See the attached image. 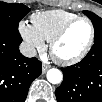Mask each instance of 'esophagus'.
<instances>
[{
    "instance_id": "34e87169",
    "label": "esophagus",
    "mask_w": 102,
    "mask_h": 102,
    "mask_svg": "<svg viewBox=\"0 0 102 102\" xmlns=\"http://www.w3.org/2000/svg\"><path fill=\"white\" fill-rule=\"evenodd\" d=\"M49 65L48 64H43L42 65V74H44L48 69H49Z\"/></svg>"
}]
</instances>
